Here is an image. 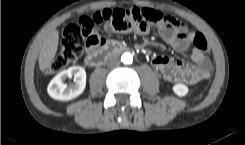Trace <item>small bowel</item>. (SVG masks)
Wrapping results in <instances>:
<instances>
[{
	"instance_id": "1",
	"label": "small bowel",
	"mask_w": 245,
	"mask_h": 145,
	"mask_svg": "<svg viewBox=\"0 0 245 145\" xmlns=\"http://www.w3.org/2000/svg\"><path fill=\"white\" fill-rule=\"evenodd\" d=\"M105 30L111 32L113 29L111 25L106 24ZM136 32L140 35L149 33L148 30H136ZM159 33L162 39L177 52L185 51L195 36V32L187 30L185 24L181 22H176L171 27L164 26L160 29ZM105 42L106 40L100 39V45H103ZM191 59L195 63L194 65L182 61L172 62L166 56H157L153 59V66L169 82L176 83L185 80L191 84H195L205 78L203 71L207 60L196 49L192 50Z\"/></svg>"
}]
</instances>
